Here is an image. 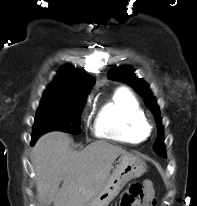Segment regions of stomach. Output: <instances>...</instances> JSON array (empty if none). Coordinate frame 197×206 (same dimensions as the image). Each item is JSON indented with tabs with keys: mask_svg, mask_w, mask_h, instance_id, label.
<instances>
[{
	"mask_svg": "<svg viewBox=\"0 0 197 206\" xmlns=\"http://www.w3.org/2000/svg\"><path fill=\"white\" fill-rule=\"evenodd\" d=\"M145 170V162L139 157L122 154L113 173L84 206H108L130 180L140 177Z\"/></svg>",
	"mask_w": 197,
	"mask_h": 206,
	"instance_id": "0dacf381",
	"label": "stomach"
}]
</instances>
